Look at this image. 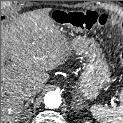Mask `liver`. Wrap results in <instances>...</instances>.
<instances>
[{
    "mask_svg": "<svg viewBox=\"0 0 123 123\" xmlns=\"http://www.w3.org/2000/svg\"><path fill=\"white\" fill-rule=\"evenodd\" d=\"M79 46L77 39L68 41L61 34L47 12L25 13L1 25V123L25 119L23 91L40 93L49 79L47 72Z\"/></svg>",
    "mask_w": 123,
    "mask_h": 123,
    "instance_id": "1",
    "label": "liver"
}]
</instances>
